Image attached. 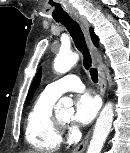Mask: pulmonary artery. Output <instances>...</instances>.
<instances>
[{"label":"pulmonary artery","mask_w":130,"mask_h":153,"mask_svg":"<svg viewBox=\"0 0 130 153\" xmlns=\"http://www.w3.org/2000/svg\"><path fill=\"white\" fill-rule=\"evenodd\" d=\"M84 88V84L81 82L80 78L77 75L69 74L48 84L45 88V91L48 94L58 98L65 92H80L83 91Z\"/></svg>","instance_id":"obj_1"}]
</instances>
